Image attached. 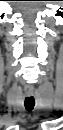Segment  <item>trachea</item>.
<instances>
[{"mask_svg":"<svg viewBox=\"0 0 63 130\" xmlns=\"http://www.w3.org/2000/svg\"><path fill=\"white\" fill-rule=\"evenodd\" d=\"M25 108L27 111H32L35 105V100L33 96H29L25 98V102H24Z\"/></svg>","mask_w":63,"mask_h":130,"instance_id":"1","label":"trachea"}]
</instances>
